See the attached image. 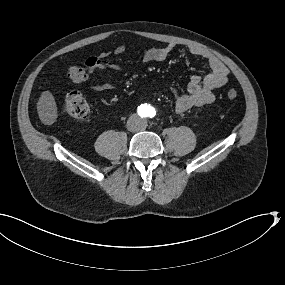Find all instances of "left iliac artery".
Wrapping results in <instances>:
<instances>
[{
  "mask_svg": "<svg viewBox=\"0 0 285 285\" xmlns=\"http://www.w3.org/2000/svg\"><path fill=\"white\" fill-rule=\"evenodd\" d=\"M155 114H156L155 109L152 108V109L149 110V114H148V115H149L151 118L154 117Z\"/></svg>",
  "mask_w": 285,
  "mask_h": 285,
  "instance_id": "obj_1",
  "label": "left iliac artery"
}]
</instances>
